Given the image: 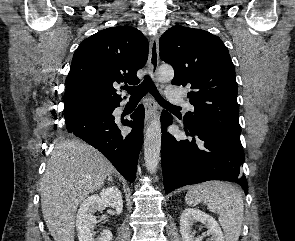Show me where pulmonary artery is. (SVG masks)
Masks as SVG:
<instances>
[{"instance_id": "e3ab8cb5", "label": "pulmonary artery", "mask_w": 295, "mask_h": 241, "mask_svg": "<svg viewBox=\"0 0 295 241\" xmlns=\"http://www.w3.org/2000/svg\"><path fill=\"white\" fill-rule=\"evenodd\" d=\"M167 98L176 104L184 105L185 100L182 95V91L179 89H176L174 85H170L168 87L167 93H166Z\"/></svg>"}]
</instances>
